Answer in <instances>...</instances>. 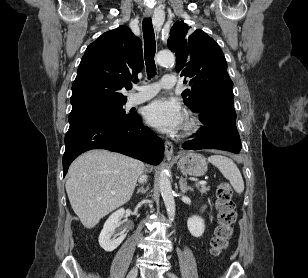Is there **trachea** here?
Wrapping results in <instances>:
<instances>
[{
	"mask_svg": "<svg viewBox=\"0 0 308 278\" xmlns=\"http://www.w3.org/2000/svg\"><path fill=\"white\" fill-rule=\"evenodd\" d=\"M144 36V55L148 78H152L156 73V65L154 61L156 41L155 34L150 17L145 18L142 23Z\"/></svg>",
	"mask_w": 308,
	"mask_h": 278,
	"instance_id": "trachea-1",
	"label": "trachea"
}]
</instances>
